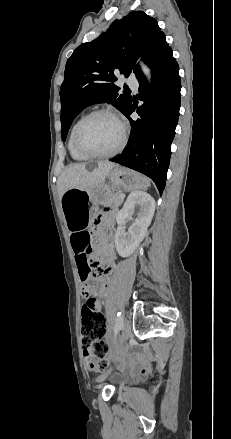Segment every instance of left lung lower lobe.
<instances>
[{
  "label": "left lung lower lobe",
  "mask_w": 231,
  "mask_h": 439,
  "mask_svg": "<svg viewBox=\"0 0 231 439\" xmlns=\"http://www.w3.org/2000/svg\"><path fill=\"white\" fill-rule=\"evenodd\" d=\"M151 70L154 79L150 86L144 76L138 79L141 94L139 99L144 101V104L137 108L133 100L124 113L132 128L129 143L121 154L110 161L150 177L162 194L181 96L179 66L170 47L155 61ZM135 108L140 116L136 121L130 117Z\"/></svg>",
  "instance_id": "obj_1"
}]
</instances>
